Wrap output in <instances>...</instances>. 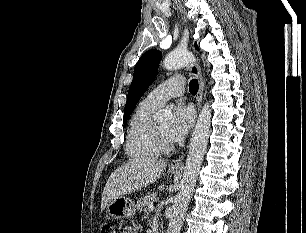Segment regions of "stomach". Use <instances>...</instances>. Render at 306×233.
I'll return each instance as SVG.
<instances>
[{
  "label": "stomach",
  "mask_w": 306,
  "mask_h": 233,
  "mask_svg": "<svg viewBox=\"0 0 306 233\" xmlns=\"http://www.w3.org/2000/svg\"><path fill=\"white\" fill-rule=\"evenodd\" d=\"M169 171L172 174L178 173V170ZM107 213L117 219L131 218L136 213V205L131 198L120 196L107 205Z\"/></svg>",
  "instance_id": "obj_1"
}]
</instances>
